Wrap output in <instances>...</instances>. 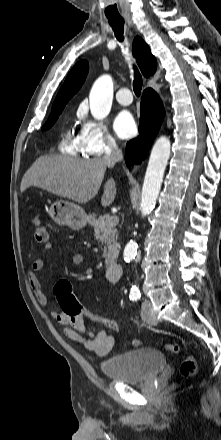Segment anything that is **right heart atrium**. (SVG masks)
<instances>
[{
	"mask_svg": "<svg viewBox=\"0 0 221 440\" xmlns=\"http://www.w3.org/2000/svg\"><path fill=\"white\" fill-rule=\"evenodd\" d=\"M79 118L82 121L79 136L85 154L101 156L118 149V142L105 122L88 117L83 108Z\"/></svg>",
	"mask_w": 221,
	"mask_h": 440,
	"instance_id": "obj_1",
	"label": "right heart atrium"
}]
</instances>
